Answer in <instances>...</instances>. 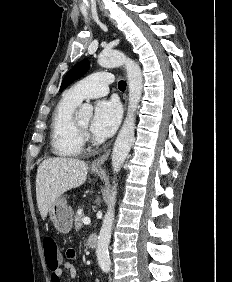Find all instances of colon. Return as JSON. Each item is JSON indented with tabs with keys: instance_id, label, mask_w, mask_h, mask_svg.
Returning <instances> with one entry per match:
<instances>
[{
	"instance_id": "1",
	"label": "colon",
	"mask_w": 232,
	"mask_h": 282,
	"mask_svg": "<svg viewBox=\"0 0 232 282\" xmlns=\"http://www.w3.org/2000/svg\"><path fill=\"white\" fill-rule=\"evenodd\" d=\"M42 245L48 269L51 271L57 270L60 267L62 256L56 240L49 236L44 237Z\"/></svg>"
}]
</instances>
